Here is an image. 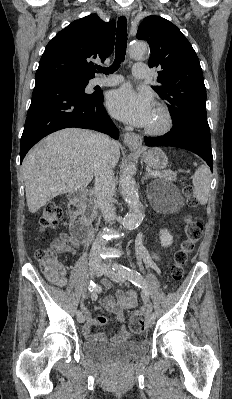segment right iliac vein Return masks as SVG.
Returning <instances> with one entry per match:
<instances>
[{
	"label": "right iliac vein",
	"mask_w": 232,
	"mask_h": 399,
	"mask_svg": "<svg viewBox=\"0 0 232 399\" xmlns=\"http://www.w3.org/2000/svg\"><path fill=\"white\" fill-rule=\"evenodd\" d=\"M100 270V261H89V272L92 277L96 276L97 271ZM76 320L79 324L84 322L83 316H77Z\"/></svg>",
	"instance_id": "right-iliac-vein-1"
}]
</instances>
